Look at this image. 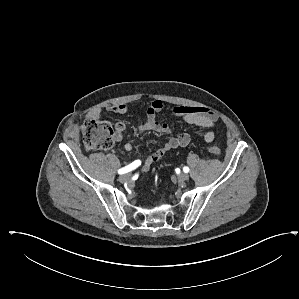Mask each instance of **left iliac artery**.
Instances as JSON below:
<instances>
[{
    "mask_svg": "<svg viewBox=\"0 0 299 299\" xmlns=\"http://www.w3.org/2000/svg\"><path fill=\"white\" fill-rule=\"evenodd\" d=\"M189 170H190V169H189L187 166H185V167L183 168V171H184L185 173H188Z\"/></svg>",
    "mask_w": 299,
    "mask_h": 299,
    "instance_id": "1",
    "label": "left iliac artery"
}]
</instances>
